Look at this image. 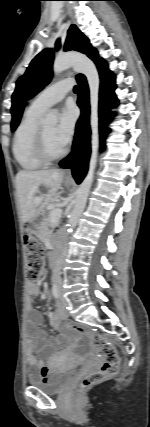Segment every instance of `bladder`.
Instances as JSON below:
<instances>
[{
    "instance_id": "obj_1",
    "label": "bladder",
    "mask_w": 150,
    "mask_h": 427,
    "mask_svg": "<svg viewBox=\"0 0 150 427\" xmlns=\"http://www.w3.org/2000/svg\"><path fill=\"white\" fill-rule=\"evenodd\" d=\"M74 373L73 369L52 371L46 379L30 377L29 384L48 394H58L66 388Z\"/></svg>"
}]
</instances>
